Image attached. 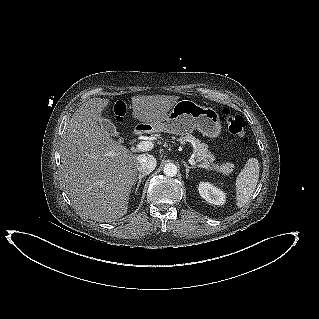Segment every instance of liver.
Instances as JSON below:
<instances>
[{"mask_svg":"<svg viewBox=\"0 0 319 319\" xmlns=\"http://www.w3.org/2000/svg\"><path fill=\"white\" fill-rule=\"evenodd\" d=\"M178 96H134L132 116L152 125L165 118ZM109 99L83 103L68 122L60 144L61 181L82 217L112 222L127 213L138 157L99 126Z\"/></svg>","mask_w":319,"mask_h":319,"instance_id":"obj_1","label":"liver"}]
</instances>
